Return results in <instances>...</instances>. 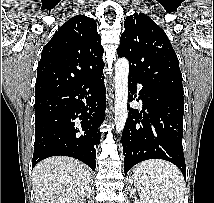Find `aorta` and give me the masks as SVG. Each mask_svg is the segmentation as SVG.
Segmentation results:
<instances>
[{"label": "aorta", "mask_w": 214, "mask_h": 203, "mask_svg": "<svg viewBox=\"0 0 214 203\" xmlns=\"http://www.w3.org/2000/svg\"><path fill=\"white\" fill-rule=\"evenodd\" d=\"M128 75L129 62L126 58H119L115 63V127L121 133L128 117Z\"/></svg>", "instance_id": "obj_1"}]
</instances>
